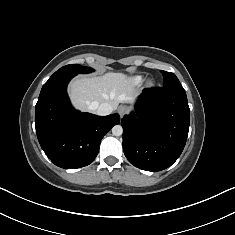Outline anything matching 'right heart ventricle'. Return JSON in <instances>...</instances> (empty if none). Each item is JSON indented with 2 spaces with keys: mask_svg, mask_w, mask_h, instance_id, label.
I'll list each match as a JSON object with an SVG mask.
<instances>
[{
  "mask_svg": "<svg viewBox=\"0 0 235 235\" xmlns=\"http://www.w3.org/2000/svg\"><path fill=\"white\" fill-rule=\"evenodd\" d=\"M131 82L135 85H138L142 82V77L141 76H135L131 79Z\"/></svg>",
  "mask_w": 235,
  "mask_h": 235,
  "instance_id": "obj_1",
  "label": "right heart ventricle"
}]
</instances>
